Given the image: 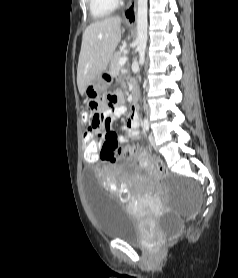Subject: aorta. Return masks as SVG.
Here are the masks:
<instances>
[{
	"label": "aorta",
	"instance_id": "obj_1",
	"mask_svg": "<svg viewBox=\"0 0 238 278\" xmlns=\"http://www.w3.org/2000/svg\"><path fill=\"white\" fill-rule=\"evenodd\" d=\"M147 9L148 0H138V11H137V50L139 52V62L141 65L145 61V50L147 44Z\"/></svg>",
	"mask_w": 238,
	"mask_h": 278
}]
</instances>
